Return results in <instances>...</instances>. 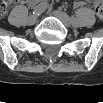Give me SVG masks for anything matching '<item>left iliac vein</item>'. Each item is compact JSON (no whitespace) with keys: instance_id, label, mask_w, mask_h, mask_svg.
<instances>
[{"instance_id":"obj_1","label":"left iliac vein","mask_w":103,"mask_h":103,"mask_svg":"<svg viewBox=\"0 0 103 103\" xmlns=\"http://www.w3.org/2000/svg\"><path fill=\"white\" fill-rule=\"evenodd\" d=\"M53 14H54L66 27L69 28V27L72 26V22H71L69 16H68L66 13H64V12H62V11H60V10H55V11H53Z\"/></svg>"}]
</instances>
